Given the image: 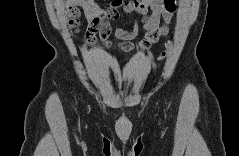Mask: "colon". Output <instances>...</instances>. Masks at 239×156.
<instances>
[{"label":"colon","instance_id":"obj_1","mask_svg":"<svg viewBox=\"0 0 239 156\" xmlns=\"http://www.w3.org/2000/svg\"><path fill=\"white\" fill-rule=\"evenodd\" d=\"M67 15L69 17L70 25L73 26L74 28H78L79 25H80V21H79L80 11H79V9L76 6L71 5L67 9ZM109 16H112V14H101L99 16V18L100 19H106ZM96 31H97V27L93 23L88 25L87 33L89 35H93ZM170 46H171V41H168L166 46H165V49L159 55L160 60H163L167 57Z\"/></svg>","mask_w":239,"mask_h":156}]
</instances>
